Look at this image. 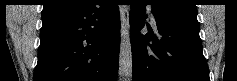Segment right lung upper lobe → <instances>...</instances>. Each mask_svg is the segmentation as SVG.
<instances>
[{
  "mask_svg": "<svg viewBox=\"0 0 237 81\" xmlns=\"http://www.w3.org/2000/svg\"><path fill=\"white\" fill-rule=\"evenodd\" d=\"M42 18L70 12L82 7L87 0H45Z\"/></svg>",
  "mask_w": 237,
  "mask_h": 81,
  "instance_id": "obj_1",
  "label": "right lung upper lobe"
}]
</instances>
